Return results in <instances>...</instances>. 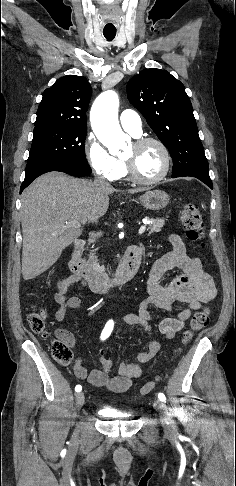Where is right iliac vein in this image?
Listing matches in <instances>:
<instances>
[{"label":"right iliac vein","instance_id":"1","mask_svg":"<svg viewBox=\"0 0 236 486\" xmlns=\"http://www.w3.org/2000/svg\"><path fill=\"white\" fill-rule=\"evenodd\" d=\"M85 396L83 392L76 394V407L80 410L84 404Z\"/></svg>","mask_w":236,"mask_h":486}]
</instances>
